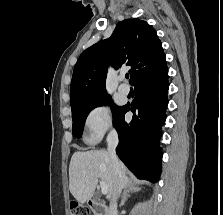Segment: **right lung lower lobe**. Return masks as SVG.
Masks as SVG:
<instances>
[{
	"label": "right lung lower lobe",
	"mask_w": 223,
	"mask_h": 215,
	"mask_svg": "<svg viewBox=\"0 0 223 215\" xmlns=\"http://www.w3.org/2000/svg\"><path fill=\"white\" fill-rule=\"evenodd\" d=\"M135 99L124 106L115 128L119 135L117 155L139 179L156 183L161 173L162 153L159 148L161 126L168 105V70L133 84ZM132 111L131 122L124 115Z\"/></svg>",
	"instance_id": "obj_1"
}]
</instances>
